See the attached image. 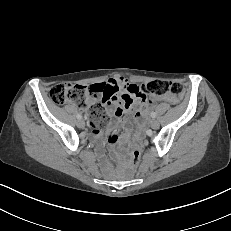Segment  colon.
<instances>
[{
  "label": "colon",
  "mask_w": 231,
  "mask_h": 231,
  "mask_svg": "<svg viewBox=\"0 0 231 231\" xmlns=\"http://www.w3.org/2000/svg\"><path fill=\"white\" fill-rule=\"evenodd\" d=\"M182 93L183 87L179 83L167 80H153L140 87V95L149 103L162 96H170L173 101H176ZM49 96L52 102L57 105L72 102L86 109L92 126L101 127L106 122L102 104L94 100L89 101V98L92 97L90 86L57 84L51 88ZM141 155V146L134 143L130 153V166L132 168L138 167Z\"/></svg>",
  "instance_id": "5ec220e1"
}]
</instances>
